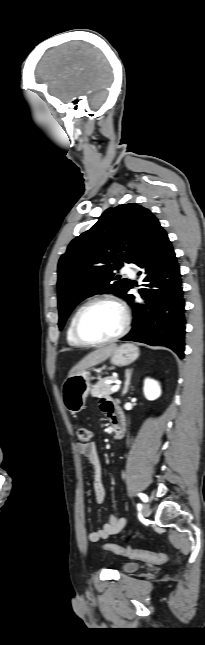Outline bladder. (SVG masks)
I'll use <instances>...</instances> for the list:
<instances>
[{
	"mask_svg": "<svg viewBox=\"0 0 205 645\" xmlns=\"http://www.w3.org/2000/svg\"><path fill=\"white\" fill-rule=\"evenodd\" d=\"M141 568V565L134 561H126L120 564V570L124 573H133Z\"/></svg>",
	"mask_w": 205,
	"mask_h": 645,
	"instance_id": "31cf9c89",
	"label": "bladder"
}]
</instances>
